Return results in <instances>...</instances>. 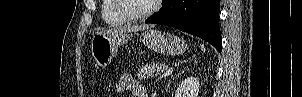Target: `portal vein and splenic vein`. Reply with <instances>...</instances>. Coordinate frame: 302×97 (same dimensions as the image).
Returning <instances> with one entry per match:
<instances>
[{"instance_id": "1", "label": "portal vein and splenic vein", "mask_w": 302, "mask_h": 97, "mask_svg": "<svg viewBox=\"0 0 302 97\" xmlns=\"http://www.w3.org/2000/svg\"><path fill=\"white\" fill-rule=\"evenodd\" d=\"M172 71H173V68H169V69L166 70V72L164 73V76H166V75L172 73Z\"/></svg>"}]
</instances>
